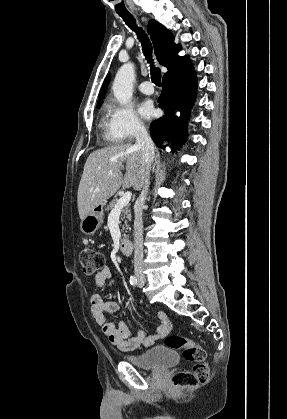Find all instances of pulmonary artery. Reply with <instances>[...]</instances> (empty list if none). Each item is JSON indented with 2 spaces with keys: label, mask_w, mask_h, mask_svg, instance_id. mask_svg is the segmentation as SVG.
Segmentation results:
<instances>
[{
  "label": "pulmonary artery",
  "mask_w": 287,
  "mask_h": 419,
  "mask_svg": "<svg viewBox=\"0 0 287 419\" xmlns=\"http://www.w3.org/2000/svg\"><path fill=\"white\" fill-rule=\"evenodd\" d=\"M139 90L146 95H150L154 92V88H153L151 82H149V81L142 82L139 85Z\"/></svg>",
  "instance_id": "obj_1"
}]
</instances>
